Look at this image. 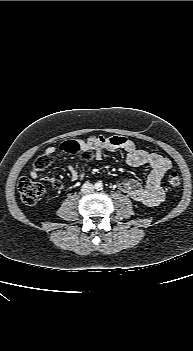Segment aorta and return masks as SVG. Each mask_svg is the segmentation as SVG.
<instances>
[{
    "instance_id": "obj_1",
    "label": "aorta",
    "mask_w": 193,
    "mask_h": 351,
    "mask_svg": "<svg viewBox=\"0 0 193 351\" xmlns=\"http://www.w3.org/2000/svg\"><path fill=\"white\" fill-rule=\"evenodd\" d=\"M96 188L101 189L102 188V184L101 183H97L96 184Z\"/></svg>"
}]
</instances>
